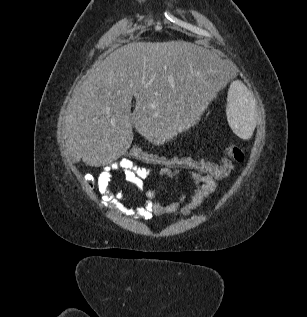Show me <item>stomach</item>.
<instances>
[{
	"label": "stomach",
	"mask_w": 307,
	"mask_h": 317,
	"mask_svg": "<svg viewBox=\"0 0 307 317\" xmlns=\"http://www.w3.org/2000/svg\"><path fill=\"white\" fill-rule=\"evenodd\" d=\"M205 108H206V107H204V106L202 105V107H201V109H200L201 113H202V111H204Z\"/></svg>",
	"instance_id": "stomach-1"
}]
</instances>
